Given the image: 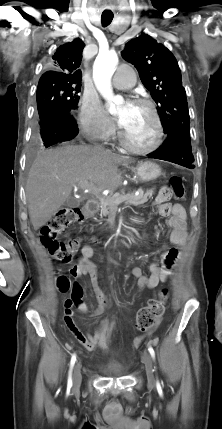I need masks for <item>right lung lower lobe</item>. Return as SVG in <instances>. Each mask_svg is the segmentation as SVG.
<instances>
[{
	"label": "right lung lower lobe",
	"mask_w": 222,
	"mask_h": 429,
	"mask_svg": "<svg viewBox=\"0 0 222 429\" xmlns=\"http://www.w3.org/2000/svg\"><path fill=\"white\" fill-rule=\"evenodd\" d=\"M78 126L71 113H55L41 125L40 135L45 147L69 141L78 134Z\"/></svg>",
	"instance_id": "obj_1"
}]
</instances>
